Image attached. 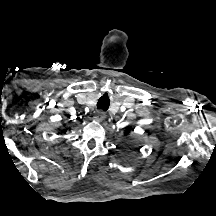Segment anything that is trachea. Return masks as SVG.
I'll list each match as a JSON object with an SVG mask.
<instances>
[{"label": "trachea", "instance_id": "1", "mask_svg": "<svg viewBox=\"0 0 216 216\" xmlns=\"http://www.w3.org/2000/svg\"><path fill=\"white\" fill-rule=\"evenodd\" d=\"M109 104H110L109 98L106 96H102L97 103V109L106 111L109 108Z\"/></svg>", "mask_w": 216, "mask_h": 216}]
</instances>
